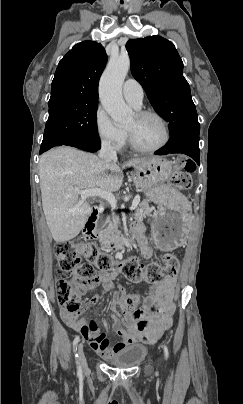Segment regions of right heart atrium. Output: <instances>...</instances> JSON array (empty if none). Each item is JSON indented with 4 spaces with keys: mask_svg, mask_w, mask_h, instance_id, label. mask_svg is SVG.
<instances>
[{
    "mask_svg": "<svg viewBox=\"0 0 243 404\" xmlns=\"http://www.w3.org/2000/svg\"><path fill=\"white\" fill-rule=\"evenodd\" d=\"M94 128L101 145L107 146L115 151H121L127 142V134L125 130L116 126L104 109L99 104L93 116Z\"/></svg>",
    "mask_w": 243,
    "mask_h": 404,
    "instance_id": "obj_1",
    "label": "right heart atrium"
}]
</instances>
